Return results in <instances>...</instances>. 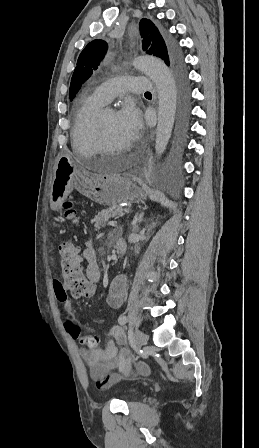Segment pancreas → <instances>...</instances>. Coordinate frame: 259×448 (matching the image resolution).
<instances>
[{
    "instance_id": "obj_1",
    "label": "pancreas",
    "mask_w": 259,
    "mask_h": 448,
    "mask_svg": "<svg viewBox=\"0 0 259 448\" xmlns=\"http://www.w3.org/2000/svg\"><path fill=\"white\" fill-rule=\"evenodd\" d=\"M120 216H123L122 208H108V210L98 212L97 216L93 218L92 224H94L95 228H100V226L104 228L110 218H120Z\"/></svg>"
}]
</instances>
